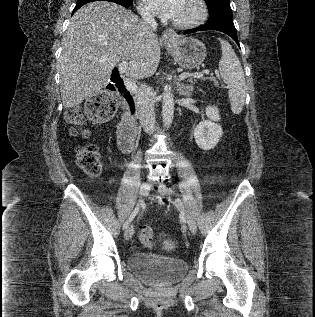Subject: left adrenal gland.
<instances>
[{
	"label": "left adrenal gland",
	"mask_w": 315,
	"mask_h": 317,
	"mask_svg": "<svg viewBox=\"0 0 315 317\" xmlns=\"http://www.w3.org/2000/svg\"><path fill=\"white\" fill-rule=\"evenodd\" d=\"M177 91L182 96H190L191 89L189 86H184L182 83L177 82Z\"/></svg>",
	"instance_id": "a2214340"
}]
</instances>
